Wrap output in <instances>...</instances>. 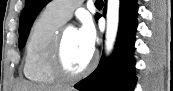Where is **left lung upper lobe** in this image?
<instances>
[{
  "instance_id": "obj_1",
  "label": "left lung upper lobe",
  "mask_w": 173,
  "mask_h": 91,
  "mask_svg": "<svg viewBox=\"0 0 173 91\" xmlns=\"http://www.w3.org/2000/svg\"><path fill=\"white\" fill-rule=\"evenodd\" d=\"M50 0H26L25 8L23 9L20 16V27H19V49H22L27 40L30 28L42 10V8L49 3Z\"/></svg>"
}]
</instances>
